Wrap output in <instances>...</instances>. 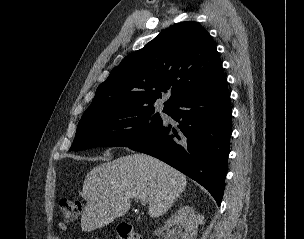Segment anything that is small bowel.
I'll return each instance as SVG.
<instances>
[{
  "instance_id": "obj_1",
  "label": "small bowel",
  "mask_w": 304,
  "mask_h": 239,
  "mask_svg": "<svg viewBox=\"0 0 304 239\" xmlns=\"http://www.w3.org/2000/svg\"><path fill=\"white\" fill-rule=\"evenodd\" d=\"M58 228H59V230H60L61 232H65V231L67 230V225H66L65 223H63V222H60V223L58 224ZM53 239H60V237L54 236Z\"/></svg>"
}]
</instances>
